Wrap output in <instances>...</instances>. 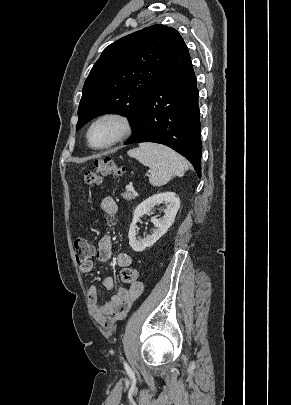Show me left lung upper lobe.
Listing matches in <instances>:
<instances>
[{
    "instance_id": "1",
    "label": "left lung upper lobe",
    "mask_w": 291,
    "mask_h": 405,
    "mask_svg": "<svg viewBox=\"0 0 291 405\" xmlns=\"http://www.w3.org/2000/svg\"><path fill=\"white\" fill-rule=\"evenodd\" d=\"M184 46L176 29L153 25L106 47L83 86L76 129L97 115L118 113L135 130L146 95Z\"/></svg>"
}]
</instances>
